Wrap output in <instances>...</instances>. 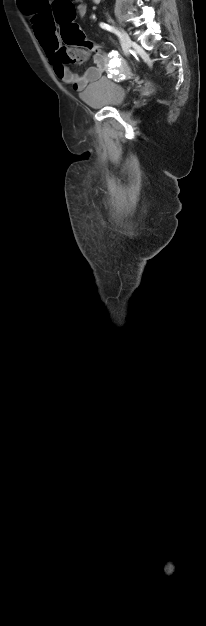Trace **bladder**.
Listing matches in <instances>:
<instances>
[{"label":"bladder","instance_id":"31cf9c89","mask_svg":"<svg viewBox=\"0 0 206 626\" xmlns=\"http://www.w3.org/2000/svg\"><path fill=\"white\" fill-rule=\"evenodd\" d=\"M126 96L125 88L107 77L91 82L80 94L81 100L93 108L120 106Z\"/></svg>","mask_w":206,"mask_h":626}]
</instances>
